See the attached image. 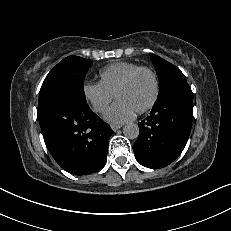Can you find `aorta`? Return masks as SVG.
<instances>
[{
  "label": "aorta",
  "instance_id": "aorta-1",
  "mask_svg": "<svg viewBox=\"0 0 231 231\" xmlns=\"http://www.w3.org/2000/svg\"><path fill=\"white\" fill-rule=\"evenodd\" d=\"M123 134L128 139H136L139 136V127L135 123H127L123 127Z\"/></svg>",
  "mask_w": 231,
  "mask_h": 231
}]
</instances>
